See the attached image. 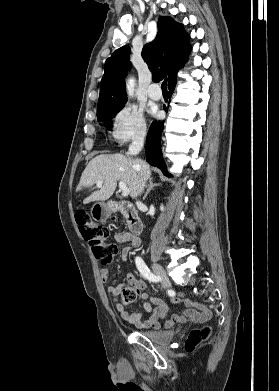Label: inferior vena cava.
<instances>
[{"mask_svg":"<svg viewBox=\"0 0 279 391\" xmlns=\"http://www.w3.org/2000/svg\"><path fill=\"white\" fill-rule=\"evenodd\" d=\"M145 135H146V131L142 130L135 136V138L132 141V144L129 146L128 153L130 155H137L141 151L144 145Z\"/></svg>","mask_w":279,"mask_h":391,"instance_id":"inferior-vena-cava-1","label":"inferior vena cava"}]
</instances>
